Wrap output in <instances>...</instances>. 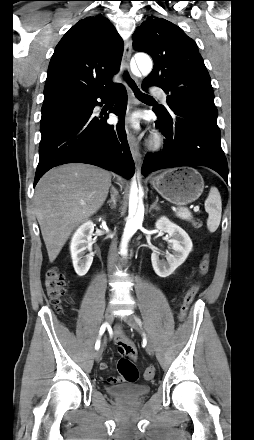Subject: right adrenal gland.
Listing matches in <instances>:
<instances>
[{
  "mask_svg": "<svg viewBox=\"0 0 254 440\" xmlns=\"http://www.w3.org/2000/svg\"><path fill=\"white\" fill-rule=\"evenodd\" d=\"M116 201H117V191L114 189V187H112L111 199L107 201V204L110 206L111 209H114L116 207Z\"/></svg>",
  "mask_w": 254,
  "mask_h": 440,
  "instance_id": "obj_1",
  "label": "right adrenal gland"
}]
</instances>
